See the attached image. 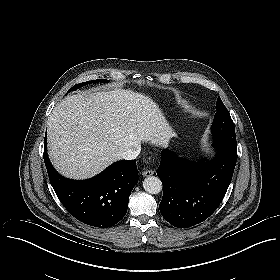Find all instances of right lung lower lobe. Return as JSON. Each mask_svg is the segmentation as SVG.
I'll return each instance as SVG.
<instances>
[{
    "label": "right lung lower lobe",
    "instance_id": "right-lung-lower-lobe-1",
    "mask_svg": "<svg viewBox=\"0 0 280 280\" xmlns=\"http://www.w3.org/2000/svg\"><path fill=\"white\" fill-rule=\"evenodd\" d=\"M43 157L56 195L76 219L90 226L108 228L126 215L129 196L138 182L136 160L117 161L87 180H69L53 168L46 136Z\"/></svg>",
    "mask_w": 280,
    "mask_h": 280
}]
</instances>
